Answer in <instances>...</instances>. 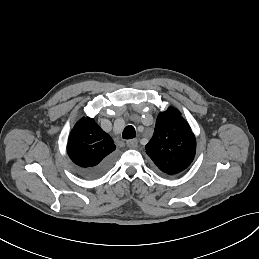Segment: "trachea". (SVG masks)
<instances>
[{
    "label": "trachea",
    "mask_w": 259,
    "mask_h": 259,
    "mask_svg": "<svg viewBox=\"0 0 259 259\" xmlns=\"http://www.w3.org/2000/svg\"><path fill=\"white\" fill-rule=\"evenodd\" d=\"M136 136L135 128L131 125L126 126L122 132V137L124 139H132Z\"/></svg>",
    "instance_id": "1"
}]
</instances>
